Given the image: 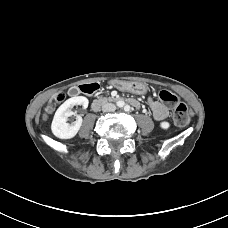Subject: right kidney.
Returning <instances> with one entry per match:
<instances>
[{
    "label": "right kidney",
    "mask_w": 228,
    "mask_h": 228,
    "mask_svg": "<svg viewBox=\"0 0 228 228\" xmlns=\"http://www.w3.org/2000/svg\"><path fill=\"white\" fill-rule=\"evenodd\" d=\"M88 99L84 96H75L66 100L56 111L52 124V133L60 139H71L79 131L82 125V118L77 116L73 123H68V118L74 113L71 109L75 105H82L83 108L88 107Z\"/></svg>",
    "instance_id": "right-kidney-1"
}]
</instances>
